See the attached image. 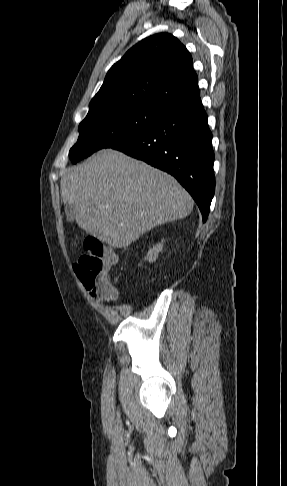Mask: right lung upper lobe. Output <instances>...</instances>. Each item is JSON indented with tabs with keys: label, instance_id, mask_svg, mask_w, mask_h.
I'll return each instance as SVG.
<instances>
[{
	"label": "right lung upper lobe",
	"instance_id": "obj_1",
	"mask_svg": "<svg viewBox=\"0 0 287 486\" xmlns=\"http://www.w3.org/2000/svg\"><path fill=\"white\" fill-rule=\"evenodd\" d=\"M198 96L190 53L176 37L160 33L134 45L110 68L89 107L149 102L171 109Z\"/></svg>",
	"mask_w": 287,
	"mask_h": 486
}]
</instances>
